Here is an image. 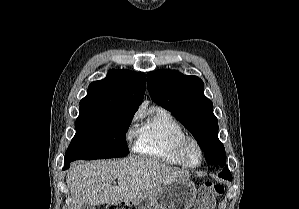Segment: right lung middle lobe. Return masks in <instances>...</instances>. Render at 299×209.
I'll list each match as a JSON object with an SVG mask.
<instances>
[{
	"label": "right lung middle lobe",
	"mask_w": 299,
	"mask_h": 209,
	"mask_svg": "<svg viewBox=\"0 0 299 209\" xmlns=\"http://www.w3.org/2000/svg\"><path fill=\"white\" fill-rule=\"evenodd\" d=\"M135 112L80 109L76 134L64 161L106 159L126 156V132Z\"/></svg>",
	"instance_id": "1"
}]
</instances>
